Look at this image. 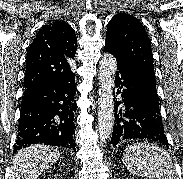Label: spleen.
<instances>
[{
    "mask_svg": "<svg viewBox=\"0 0 183 179\" xmlns=\"http://www.w3.org/2000/svg\"><path fill=\"white\" fill-rule=\"evenodd\" d=\"M122 161L136 176L149 179H174L175 170L169 154L156 144L136 142L128 146Z\"/></svg>",
    "mask_w": 183,
    "mask_h": 179,
    "instance_id": "obj_1",
    "label": "spleen"
}]
</instances>
